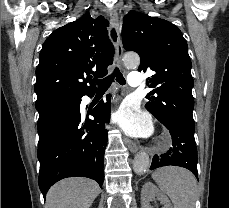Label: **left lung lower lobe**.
Instances as JSON below:
<instances>
[{
    "instance_id": "obj_1",
    "label": "left lung lower lobe",
    "mask_w": 229,
    "mask_h": 208,
    "mask_svg": "<svg viewBox=\"0 0 229 208\" xmlns=\"http://www.w3.org/2000/svg\"><path fill=\"white\" fill-rule=\"evenodd\" d=\"M160 122L169 130L173 146L167 154L161 157L155 156L150 169L169 165L180 166L190 170L198 179L197 147L194 140L195 128L184 122Z\"/></svg>"
}]
</instances>
